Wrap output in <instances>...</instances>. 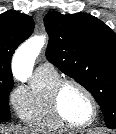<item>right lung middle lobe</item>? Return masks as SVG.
Here are the masks:
<instances>
[{"label":"right lung middle lobe","instance_id":"dd1d6c3e","mask_svg":"<svg viewBox=\"0 0 116 134\" xmlns=\"http://www.w3.org/2000/svg\"><path fill=\"white\" fill-rule=\"evenodd\" d=\"M14 86V81H0V120L11 117L9 109V94Z\"/></svg>","mask_w":116,"mask_h":134}]
</instances>
